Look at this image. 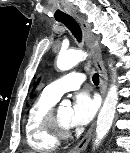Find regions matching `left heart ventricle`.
Instances as JSON below:
<instances>
[{"label":"left heart ventricle","instance_id":"obj_1","mask_svg":"<svg viewBox=\"0 0 130 153\" xmlns=\"http://www.w3.org/2000/svg\"><path fill=\"white\" fill-rule=\"evenodd\" d=\"M57 113L61 123L65 126H70L71 109L69 107H60Z\"/></svg>","mask_w":130,"mask_h":153}]
</instances>
